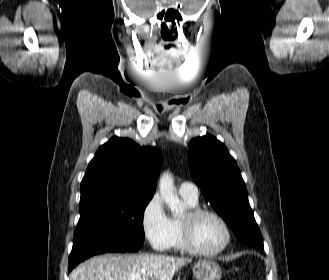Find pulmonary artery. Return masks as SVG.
Wrapping results in <instances>:
<instances>
[{"mask_svg":"<svg viewBox=\"0 0 329 280\" xmlns=\"http://www.w3.org/2000/svg\"><path fill=\"white\" fill-rule=\"evenodd\" d=\"M179 193L181 196L187 197L193 201H197L199 197L198 187L191 182H183L179 185Z\"/></svg>","mask_w":329,"mask_h":280,"instance_id":"pulmonary-artery-1","label":"pulmonary artery"}]
</instances>
